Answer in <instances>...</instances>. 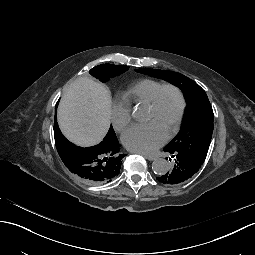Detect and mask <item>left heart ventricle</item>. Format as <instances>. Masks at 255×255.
<instances>
[{"mask_svg":"<svg viewBox=\"0 0 255 255\" xmlns=\"http://www.w3.org/2000/svg\"><path fill=\"white\" fill-rule=\"evenodd\" d=\"M178 107L179 100L176 92L165 89L159 96L157 106L154 109L147 107L144 121L167 137L175 126Z\"/></svg>","mask_w":255,"mask_h":255,"instance_id":"b2bd125f","label":"left heart ventricle"}]
</instances>
